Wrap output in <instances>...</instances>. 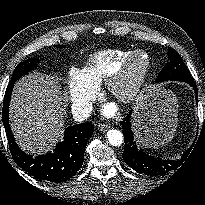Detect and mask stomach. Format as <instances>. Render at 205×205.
<instances>
[{
  "mask_svg": "<svg viewBox=\"0 0 205 205\" xmlns=\"http://www.w3.org/2000/svg\"><path fill=\"white\" fill-rule=\"evenodd\" d=\"M177 99L164 89H147L136 103L133 127L137 141L148 148L168 144L177 129Z\"/></svg>",
  "mask_w": 205,
  "mask_h": 205,
  "instance_id": "obj_1",
  "label": "stomach"
}]
</instances>
